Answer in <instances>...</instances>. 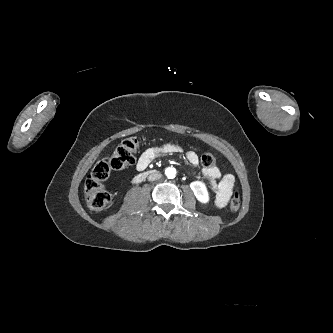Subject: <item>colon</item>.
Here are the masks:
<instances>
[{
    "instance_id": "1",
    "label": "colon",
    "mask_w": 333,
    "mask_h": 333,
    "mask_svg": "<svg viewBox=\"0 0 333 333\" xmlns=\"http://www.w3.org/2000/svg\"><path fill=\"white\" fill-rule=\"evenodd\" d=\"M140 143L141 140L138 137L125 139L110 157H106L96 164L84 184L86 202L92 211L99 212L109 204L110 195L104 189L102 182L112 171L122 170L134 163ZM201 163L204 167L210 168L215 165L216 158L212 153L205 152L201 157ZM240 205V196L235 192L230 201V208L232 211H237Z\"/></svg>"
}]
</instances>
